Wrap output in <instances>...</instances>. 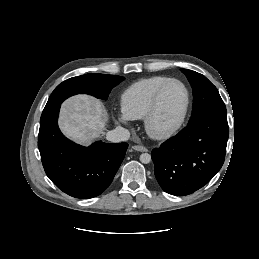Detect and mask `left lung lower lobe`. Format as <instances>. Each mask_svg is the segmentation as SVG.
<instances>
[{"mask_svg":"<svg viewBox=\"0 0 259 259\" xmlns=\"http://www.w3.org/2000/svg\"><path fill=\"white\" fill-rule=\"evenodd\" d=\"M229 136L227 114L189 121L176 136L151 152L155 176L172 195H188L206 185L224 163Z\"/></svg>","mask_w":259,"mask_h":259,"instance_id":"left-lung-lower-lobe-1","label":"left lung lower lobe"}]
</instances>
